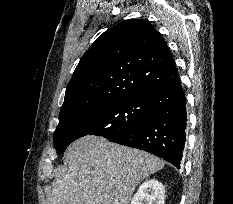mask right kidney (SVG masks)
I'll return each instance as SVG.
<instances>
[{"label": "right kidney", "mask_w": 233, "mask_h": 204, "mask_svg": "<svg viewBox=\"0 0 233 204\" xmlns=\"http://www.w3.org/2000/svg\"><path fill=\"white\" fill-rule=\"evenodd\" d=\"M165 187L155 179L142 183L132 198L131 204H164Z\"/></svg>", "instance_id": "ca27d5eb"}]
</instances>
